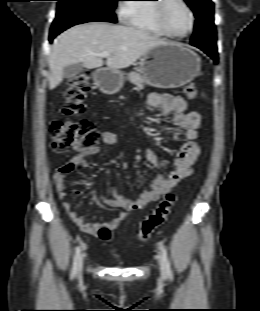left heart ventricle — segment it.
I'll return each mask as SVG.
<instances>
[{
    "mask_svg": "<svg viewBox=\"0 0 260 311\" xmlns=\"http://www.w3.org/2000/svg\"><path fill=\"white\" fill-rule=\"evenodd\" d=\"M164 16L165 23L171 32L184 34L188 31L191 18L186 8L178 0H169Z\"/></svg>",
    "mask_w": 260,
    "mask_h": 311,
    "instance_id": "b2bd125f",
    "label": "left heart ventricle"
}]
</instances>
